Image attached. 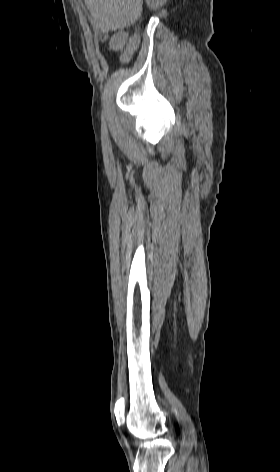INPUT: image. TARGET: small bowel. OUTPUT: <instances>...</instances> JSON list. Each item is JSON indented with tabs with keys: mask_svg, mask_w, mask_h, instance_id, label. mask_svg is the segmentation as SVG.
<instances>
[{
	"mask_svg": "<svg viewBox=\"0 0 280 472\" xmlns=\"http://www.w3.org/2000/svg\"><path fill=\"white\" fill-rule=\"evenodd\" d=\"M139 44V37L137 34L128 37L124 33L115 35L110 42V46L116 50H123L124 57L130 56Z\"/></svg>",
	"mask_w": 280,
	"mask_h": 472,
	"instance_id": "c3829d8e",
	"label": "small bowel"
}]
</instances>
